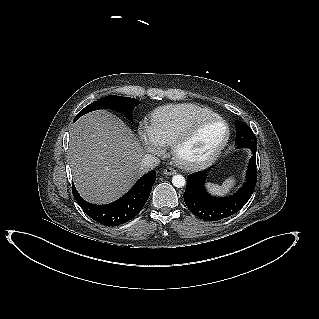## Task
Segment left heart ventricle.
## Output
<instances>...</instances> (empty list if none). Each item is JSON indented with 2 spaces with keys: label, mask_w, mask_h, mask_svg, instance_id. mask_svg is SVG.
<instances>
[{
  "label": "left heart ventricle",
  "mask_w": 319,
  "mask_h": 319,
  "mask_svg": "<svg viewBox=\"0 0 319 319\" xmlns=\"http://www.w3.org/2000/svg\"><path fill=\"white\" fill-rule=\"evenodd\" d=\"M225 129L218 121L203 125L196 135L185 144L180 153L186 159H198L208 155L223 138Z\"/></svg>",
  "instance_id": "b2bd125f"
}]
</instances>
